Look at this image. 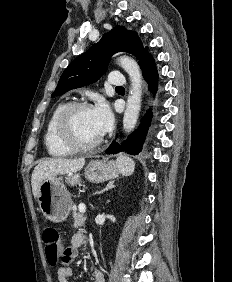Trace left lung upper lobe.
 Here are the masks:
<instances>
[{
	"mask_svg": "<svg viewBox=\"0 0 232 282\" xmlns=\"http://www.w3.org/2000/svg\"><path fill=\"white\" fill-rule=\"evenodd\" d=\"M143 51V44L138 35L124 26L117 25L64 70L51 97L96 82L106 72L108 62L115 53L128 52L140 59Z\"/></svg>",
	"mask_w": 232,
	"mask_h": 282,
	"instance_id": "left-lung-upper-lobe-1",
	"label": "left lung upper lobe"
}]
</instances>
